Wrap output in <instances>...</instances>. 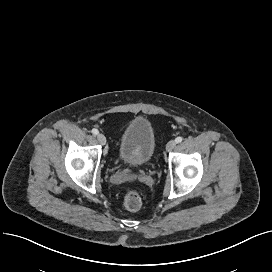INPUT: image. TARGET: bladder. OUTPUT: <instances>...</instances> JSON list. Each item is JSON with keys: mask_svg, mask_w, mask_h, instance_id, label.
Returning <instances> with one entry per match:
<instances>
[{"mask_svg": "<svg viewBox=\"0 0 272 272\" xmlns=\"http://www.w3.org/2000/svg\"><path fill=\"white\" fill-rule=\"evenodd\" d=\"M156 149V136L150 120L140 116L124 129L118 147V158L131 165L148 164Z\"/></svg>", "mask_w": 272, "mask_h": 272, "instance_id": "31cf9c89", "label": "bladder"}]
</instances>
